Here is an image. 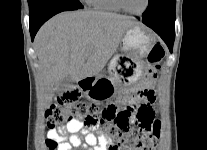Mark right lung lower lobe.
I'll return each instance as SVG.
<instances>
[{"label":"right lung lower lobe","instance_id":"98d812e1","mask_svg":"<svg viewBox=\"0 0 207 150\" xmlns=\"http://www.w3.org/2000/svg\"><path fill=\"white\" fill-rule=\"evenodd\" d=\"M77 9L80 8L67 3L55 2V3L47 4L36 11L30 12L29 25H30L31 39L32 40L34 39L39 28L52 16L62 11L77 10Z\"/></svg>","mask_w":207,"mask_h":150}]
</instances>
